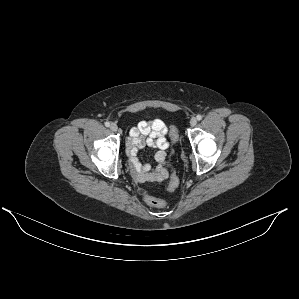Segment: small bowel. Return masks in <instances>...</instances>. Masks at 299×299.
<instances>
[{"mask_svg":"<svg viewBox=\"0 0 299 299\" xmlns=\"http://www.w3.org/2000/svg\"><path fill=\"white\" fill-rule=\"evenodd\" d=\"M168 128L160 119L152 122L142 121L130 131L127 143V154L134 178L139 182H160L169 175L166 149L169 143L166 139ZM148 146L156 149V167L140 162L138 150Z\"/></svg>","mask_w":299,"mask_h":299,"instance_id":"obj_1","label":"small bowel"}]
</instances>
